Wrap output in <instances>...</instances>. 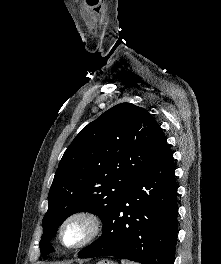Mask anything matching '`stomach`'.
Masks as SVG:
<instances>
[{"label": "stomach", "mask_w": 221, "mask_h": 264, "mask_svg": "<svg viewBox=\"0 0 221 264\" xmlns=\"http://www.w3.org/2000/svg\"><path fill=\"white\" fill-rule=\"evenodd\" d=\"M97 264H117V263L110 260H101Z\"/></svg>", "instance_id": "1"}]
</instances>
